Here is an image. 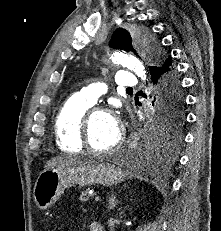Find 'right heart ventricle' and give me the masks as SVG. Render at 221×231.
I'll return each mask as SVG.
<instances>
[{
    "instance_id": "1",
    "label": "right heart ventricle",
    "mask_w": 221,
    "mask_h": 231,
    "mask_svg": "<svg viewBox=\"0 0 221 231\" xmlns=\"http://www.w3.org/2000/svg\"><path fill=\"white\" fill-rule=\"evenodd\" d=\"M91 104L77 96L68 98L59 109L54 132L57 147L65 153L75 154L83 150L80 142V124Z\"/></svg>"
}]
</instances>
